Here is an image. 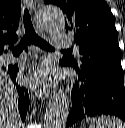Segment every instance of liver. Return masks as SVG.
I'll list each match as a JSON object with an SVG mask.
<instances>
[{
	"label": "liver",
	"instance_id": "6515ba94",
	"mask_svg": "<svg viewBox=\"0 0 125 128\" xmlns=\"http://www.w3.org/2000/svg\"><path fill=\"white\" fill-rule=\"evenodd\" d=\"M17 93L12 81L0 73V128H20Z\"/></svg>",
	"mask_w": 125,
	"mask_h": 128
}]
</instances>
